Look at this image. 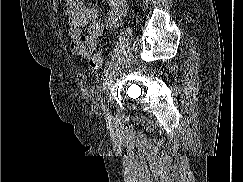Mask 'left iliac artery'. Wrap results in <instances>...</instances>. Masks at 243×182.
<instances>
[{
  "label": "left iliac artery",
  "instance_id": "obj_1",
  "mask_svg": "<svg viewBox=\"0 0 243 182\" xmlns=\"http://www.w3.org/2000/svg\"><path fill=\"white\" fill-rule=\"evenodd\" d=\"M102 110H103L106 121L110 123L111 115H110V112H109L105 102L102 103Z\"/></svg>",
  "mask_w": 243,
  "mask_h": 182
}]
</instances>
